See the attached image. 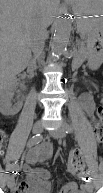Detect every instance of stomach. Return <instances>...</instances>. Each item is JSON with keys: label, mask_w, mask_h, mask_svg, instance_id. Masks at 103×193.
I'll use <instances>...</instances> for the list:
<instances>
[{"label": "stomach", "mask_w": 103, "mask_h": 193, "mask_svg": "<svg viewBox=\"0 0 103 193\" xmlns=\"http://www.w3.org/2000/svg\"><path fill=\"white\" fill-rule=\"evenodd\" d=\"M72 11L79 16H101L103 0H70Z\"/></svg>", "instance_id": "obj_1"}]
</instances>
